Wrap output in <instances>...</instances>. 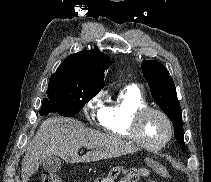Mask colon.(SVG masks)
I'll return each instance as SVG.
<instances>
[{"label":"colon","instance_id":"colon-1","mask_svg":"<svg viewBox=\"0 0 211 182\" xmlns=\"http://www.w3.org/2000/svg\"><path fill=\"white\" fill-rule=\"evenodd\" d=\"M151 169L161 177H167V170L159 164H154ZM147 168H132L129 170H122L115 168L110 170L105 176L98 177L93 182H115L121 176L120 182H136L139 178L148 174ZM42 182H61V178L57 173L51 171H43L41 174Z\"/></svg>","mask_w":211,"mask_h":182}]
</instances>
